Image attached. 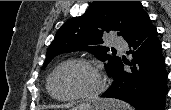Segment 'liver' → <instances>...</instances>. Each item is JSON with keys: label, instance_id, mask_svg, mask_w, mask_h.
<instances>
[{"label": "liver", "instance_id": "liver-1", "mask_svg": "<svg viewBox=\"0 0 171 110\" xmlns=\"http://www.w3.org/2000/svg\"><path fill=\"white\" fill-rule=\"evenodd\" d=\"M99 104H101V106H103V108H108V109H110L112 106H115V104H116V101H114V100H102V101H100L99 102ZM122 104L123 103H121V102H119L118 104H117V107H118V109H121L122 108ZM87 106H90V105H82V107H87Z\"/></svg>", "mask_w": 171, "mask_h": 110}]
</instances>
